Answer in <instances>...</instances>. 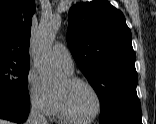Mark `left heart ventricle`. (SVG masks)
<instances>
[{
    "label": "left heart ventricle",
    "instance_id": "1",
    "mask_svg": "<svg viewBox=\"0 0 156 124\" xmlns=\"http://www.w3.org/2000/svg\"><path fill=\"white\" fill-rule=\"evenodd\" d=\"M62 93L67 108L79 118L92 116L97 109V101L93 92L82 84H68L63 77L55 86Z\"/></svg>",
    "mask_w": 156,
    "mask_h": 124
}]
</instances>
